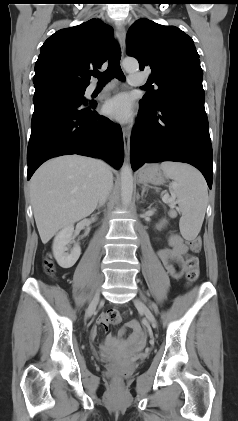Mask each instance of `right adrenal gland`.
<instances>
[{"instance_id":"1","label":"right adrenal gland","mask_w":238,"mask_h":421,"mask_svg":"<svg viewBox=\"0 0 238 421\" xmlns=\"http://www.w3.org/2000/svg\"><path fill=\"white\" fill-rule=\"evenodd\" d=\"M101 206H102V205H101V204H99V205L97 206V209H99Z\"/></svg>"}]
</instances>
